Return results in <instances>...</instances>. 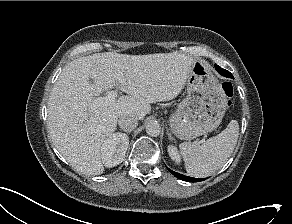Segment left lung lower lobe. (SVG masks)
Instances as JSON below:
<instances>
[{
	"label": "left lung lower lobe",
	"mask_w": 292,
	"mask_h": 224,
	"mask_svg": "<svg viewBox=\"0 0 292 224\" xmlns=\"http://www.w3.org/2000/svg\"><path fill=\"white\" fill-rule=\"evenodd\" d=\"M215 68H216V70H217L219 73H221V74H223V75H226V74L224 73L225 70L222 69L221 67H219L218 65H215ZM170 172H171L175 177L179 178L180 180H184V181H187V182H199V181L205 180V178H204V179H201V178H192V177H188V176H185V175L179 174V173H177V172H174V171H172V170H170Z\"/></svg>",
	"instance_id": "left-lung-lower-lobe-1"
}]
</instances>
